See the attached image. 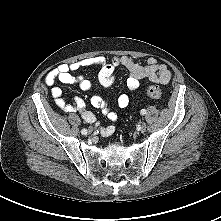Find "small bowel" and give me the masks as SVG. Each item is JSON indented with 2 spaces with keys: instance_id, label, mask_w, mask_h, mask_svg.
<instances>
[{
  "instance_id": "small-bowel-1",
  "label": "small bowel",
  "mask_w": 221,
  "mask_h": 221,
  "mask_svg": "<svg viewBox=\"0 0 221 221\" xmlns=\"http://www.w3.org/2000/svg\"><path fill=\"white\" fill-rule=\"evenodd\" d=\"M119 66L125 67L129 72L126 87L130 92L138 89L141 79H147L158 84H167L172 77L169 68L165 64L159 63L158 60L153 57L148 58L143 65L129 56L114 57L111 60H107L103 56H94L70 64L59 65L47 74L45 82L51 87L53 100L62 111L79 113L85 122L94 124L102 136L108 137L115 132V127L113 125L100 126L95 115L87 110L82 98L75 97L72 102H66L63 98L62 88L57 85V82L77 84L82 90H90L92 88V82L83 75L76 74V72L83 68L96 67L99 69V83L103 87H109L115 80V70ZM90 103L93 107L101 110L102 114L110 121L114 122L117 120L118 112L111 110L100 95H93L90 98ZM128 105L129 96L127 94L119 95L117 98V107L124 109Z\"/></svg>"
}]
</instances>
